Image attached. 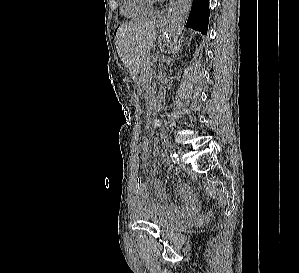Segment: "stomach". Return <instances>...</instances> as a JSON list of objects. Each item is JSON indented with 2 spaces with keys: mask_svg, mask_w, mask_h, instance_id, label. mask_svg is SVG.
<instances>
[{
  "mask_svg": "<svg viewBox=\"0 0 299 273\" xmlns=\"http://www.w3.org/2000/svg\"><path fill=\"white\" fill-rule=\"evenodd\" d=\"M159 28H162L160 25L158 26ZM136 86L139 92H142L144 89V82H143V77H137L136 78Z\"/></svg>",
  "mask_w": 299,
  "mask_h": 273,
  "instance_id": "stomach-1",
  "label": "stomach"
}]
</instances>
